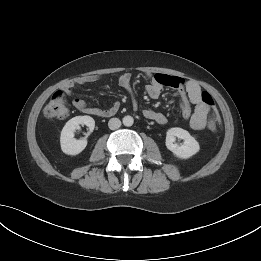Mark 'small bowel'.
<instances>
[{
    "label": "small bowel",
    "mask_w": 261,
    "mask_h": 261,
    "mask_svg": "<svg viewBox=\"0 0 261 261\" xmlns=\"http://www.w3.org/2000/svg\"><path fill=\"white\" fill-rule=\"evenodd\" d=\"M148 77L150 83L147 85L146 91L151 98H158L165 86L172 87L176 90L181 101L183 117L190 119V126L192 129L202 130L205 128H215V115H218V112L214 106L208 105L203 101V91L196 83H184V80L180 77L163 74H148ZM97 79V75H88L79 78L77 81L70 82L65 87V92L71 94L76 85L92 83ZM119 85L131 93V75L129 73L122 74L119 77ZM73 105L82 113L98 116L112 115L118 110L119 107L117 103H114L107 109H99L88 106L82 99H75L73 101ZM192 105L194 106L193 111ZM143 115L147 119L153 120L158 124H165L167 122V118L164 114L151 109H145L143 111Z\"/></svg>",
    "instance_id": "c3829d8e"
}]
</instances>
